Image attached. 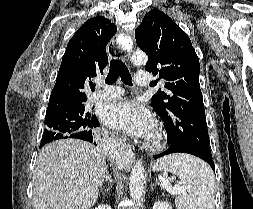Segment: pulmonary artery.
Masks as SVG:
<instances>
[{
	"label": "pulmonary artery",
	"instance_id": "pulmonary-artery-1",
	"mask_svg": "<svg viewBox=\"0 0 253 209\" xmlns=\"http://www.w3.org/2000/svg\"><path fill=\"white\" fill-rule=\"evenodd\" d=\"M150 77L147 71H138L135 74L134 82L137 86H145L149 83ZM123 94L121 88L116 86H102V89L98 90L91 96V101H105L117 98Z\"/></svg>",
	"mask_w": 253,
	"mask_h": 209
}]
</instances>
